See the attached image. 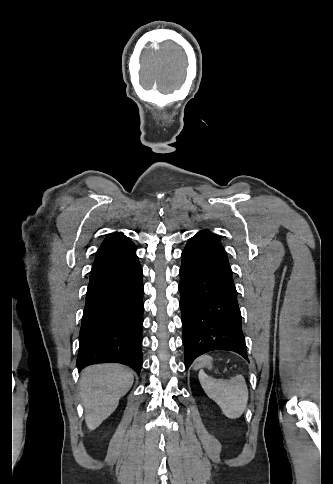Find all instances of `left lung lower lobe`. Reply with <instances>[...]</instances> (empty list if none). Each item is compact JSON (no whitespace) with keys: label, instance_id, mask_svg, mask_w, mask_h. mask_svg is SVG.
<instances>
[{"label":"left lung lower lobe","instance_id":"1","mask_svg":"<svg viewBox=\"0 0 333 484\" xmlns=\"http://www.w3.org/2000/svg\"><path fill=\"white\" fill-rule=\"evenodd\" d=\"M179 291L186 369L213 350L234 351L248 360L237 292L219 238L200 231L186 244Z\"/></svg>","mask_w":333,"mask_h":484}]
</instances>
